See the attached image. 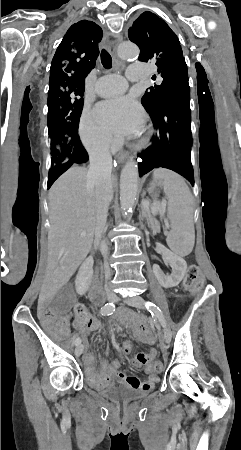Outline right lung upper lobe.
<instances>
[{
    "label": "right lung upper lobe",
    "mask_w": 241,
    "mask_h": 450,
    "mask_svg": "<svg viewBox=\"0 0 241 450\" xmlns=\"http://www.w3.org/2000/svg\"><path fill=\"white\" fill-rule=\"evenodd\" d=\"M102 29L92 21L73 24L63 37L50 67L49 92L63 87L84 90L85 78L95 67Z\"/></svg>",
    "instance_id": "1"
}]
</instances>
